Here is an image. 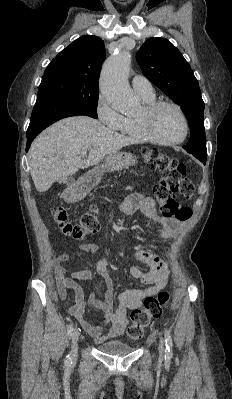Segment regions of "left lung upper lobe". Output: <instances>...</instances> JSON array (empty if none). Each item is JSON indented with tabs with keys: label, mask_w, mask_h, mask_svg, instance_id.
Segmentation results:
<instances>
[{
	"label": "left lung upper lobe",
	"mask_w": 232,
	"mask_h": 399,
	"mask_svg": "<svg viewBox=\"0 0 232 399\" xmlns=\"http://www.w3.org/2000/svg\"><path fill=\"white\" fill-rule=\"evenodd\" d=\"M148 80L177 103L190 125V139L183 148L198 159H206L204 102L193 71L180 51L167 39L152 37L136 54Z\"/></svg>",
	"instance_id": "5c2ea615"
}]
</instances>
